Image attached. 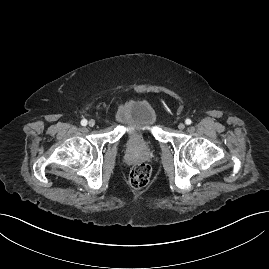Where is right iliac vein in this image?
<instances>
[{"label":"right iliac vein","instance_id":"right-iliac-vein-1","mask_svg":"<svg viewBox=\"0 0 269 269\" xmlns=\"http://www.w3.org/2000/svg\"><path fill=\"white\" fill-rule=\"evenodd\" d=\"M88 125H89L90 127L95 126V120H93V119L89 120Z\"/></svg>","mask_w":269,"mask_h":269}]
</instances>
